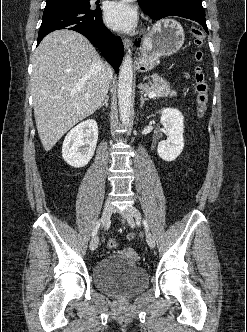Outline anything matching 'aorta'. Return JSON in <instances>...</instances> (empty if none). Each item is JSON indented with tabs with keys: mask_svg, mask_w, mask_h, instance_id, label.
Returning <instances> with one entry per match:
<instances>
[{
	"mask_svg": "<svg viewBox=\"0 0 247 332\" xmlns=\"http://www.w3.org/2000/svg\"><path fill=\"white\" fill-rule=\"evenodd\" d=\"M133 65L127 54L121 64L118 79V105L122 124L128 125L131 118Z\"/></svg>",
	"mask_w": 247,
	"mask_h": 332,
	"instance_id": "1",
	"label": "aorta"
}]
</instances>
